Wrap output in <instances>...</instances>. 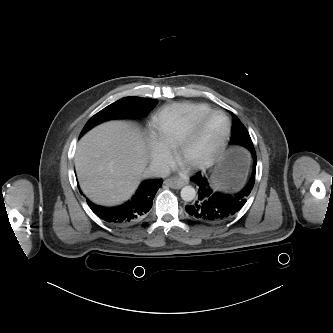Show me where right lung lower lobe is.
Listing matches in <instances>:
<instances>
[{"mask_svg":"<svg viewBox=\"0 0 333 333\" xmlns=\"http://www.w3.org/2000/svg\"><path fill=\"white\" fill-rule=\"evenodd\" d=\"M160 179L145 180L141 183L131 200L117 207H103L95 205L87 199L92 211L101 219L117 226L132 225L143 217L151 209L156 192L162 186ZM82 194V192L80 191Z\"/></svg>","mask_w":333,"mask_h":333,"instance_id":"98d812e1","label":"right lung lower lobe"}]
</instances>
